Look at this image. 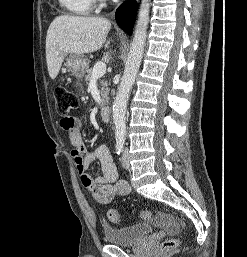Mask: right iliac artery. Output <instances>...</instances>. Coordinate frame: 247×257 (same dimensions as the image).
I'll return each instance as SVG.
<instances>
[{"mask_svg":"<svg viewBox=\"0 0 247 257\" xmlns=\"http://www.w3.org/2000/svg\"><path fill=\"white\" fill-rule=\"evenodd\" d=\"M124 147V139H119L116 142V150H117V154H120L123 150Z\"/></svg>","mask_w":247,"mask_h":257,"instance_id":"right-iliac-artery-1","label":"right iliac artery"}]
</instances>
